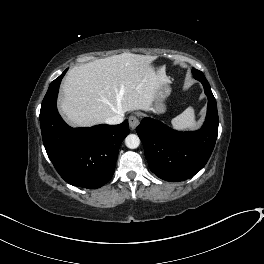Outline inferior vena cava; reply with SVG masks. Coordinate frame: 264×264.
I'll return each instance as SVG.
<instances>
[{"label":"inferior vena cava","mask_w":264,"mask_h":264,"mask_svg":"<svg viewBox=\"0 0 264 264\" xmlns=\"http://www.w3.org/2000/svg\"><path fill=\"white\" fill-rule=\"evenodd\" d=\"M122 122H123V114L114 115L112 117L107 118L105 121V123L112 125L120 124Z\"/></svg>","instance_id":"602c4592"}]
</instances>
